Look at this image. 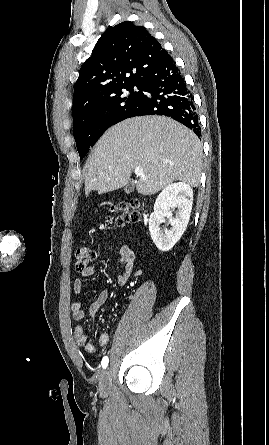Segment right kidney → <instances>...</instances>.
Returning <instances> with one entry per match:
<instances>
[{
  "instance_id": "ca27d5eb",
  "label": "right kidney",
  "mask_w": 269,
  "mask_h": 445,
  "mask_svg": "<svg viewBox=\"0 0 269 445\" xmlns=\"http://www.w3.org/2000/svg\"><path fill=\"white\" fill-rule=\"evenodd\" d=\"M192 204L193 190L184 182L169 184L158 195L154 212L149 218V231L154 244L160 251H169L180 240L187 228ZM169 208H177L175 216ZM164 217L169 218L171 228L165 229L163 233L160 224Z\"/></svg>"
}]
</instances>
